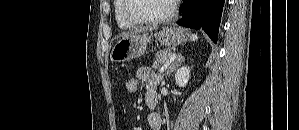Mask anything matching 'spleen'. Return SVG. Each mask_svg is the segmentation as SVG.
Wrapping results in <instances>:
<instances>
[{
    "label": "spleen",
    "mask_w": 299,
    "mask_h": 130,
    "mask_svg": "<svg viewBox=\"0 0 299 130\" xmlns=\"http://www.w3.org/2000/svg\"><path fill=\"white\" fill-rule=\"evenodd\" d=\"M190 39H191L192 41H196V40L198 39L197 34H192V35L190 36Z\"/></svg>",
    "instance_id": "3e777b00"
}]
</instances>
